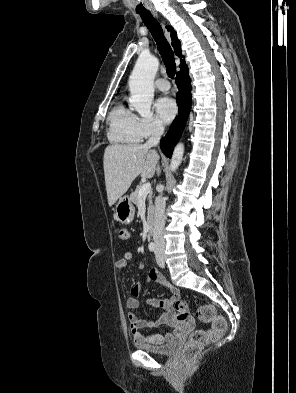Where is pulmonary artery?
<instances>
[{
    "mask_svg": "<svg viewBox=\"0 0 296 393\" xmlns=\"http://www.w3.org/2000/svg\"><path fill=\"white\" fill-rule=\"evenodd\" d=\"M155 87L162 92H167L170 89V83L167 79L160 78L156 80Z\"/></svg>",
    "mask_w": 296,
    "mask_h": 393,
    "instance_id": "obj_1",
    "label": "pulmonary artery"
}]
</instances>
